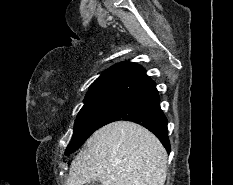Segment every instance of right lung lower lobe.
Masks as SVG:
<instances>
[{"label": "right lung lower lobe", "mask_w": 233, "mask_h": 185, "mask_svg": "<svg viewBox=\"0 0 233 185\" xmlns=\"http://www.w3.org/2000/svg\"><path fill=\"white\" fill-rule=\"evenodd\" d=\"M117 120H128L146 127L156 135L167 152H170L168 121L160 108L158 91L151 79L129 91L104 117L98 128Z\"/></svg>", "instance_id": "right-lung-lower-lobe-1"}]
</instances>
